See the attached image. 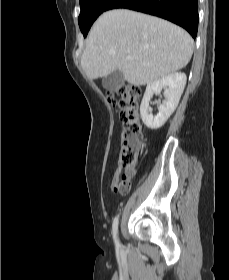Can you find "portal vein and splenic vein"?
Wrapping results in <instances>:
<instances>
[{
    "label": "portal vein and splenic vein",
    "instance_id": "obj_1",
    "mask_svg": "<svg viewBox=\"0 0 229 280\" xmlns=\"http://www.w3.org/2000/svg\"><path fill=\"white\" fill-rule=\"evenodd\" d=\"M127 59L128 60H133V57L129 55V56H127Z\"/></svg>",
    "mask_w": 229,
    "mask_h": 280
}]
</instances>
